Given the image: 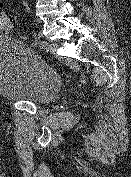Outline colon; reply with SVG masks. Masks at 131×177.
Wrapping results in <instances>:
<instances>
[{"label": "colon", "instance_id": "obj_1", "mask_svg": "<svg viewBox=\"0 0 131 177\" xmlns=\"http://www.w3.org/2000/svg\"><path fill=\"white\" fill-rule=\"evenodd\" d=\"M12 26L10 19L3 10V5L0 3V32L7 34L11 31Z\"/></svg>", "mask_w": 131, "mask_h": 177}]
</instances>
